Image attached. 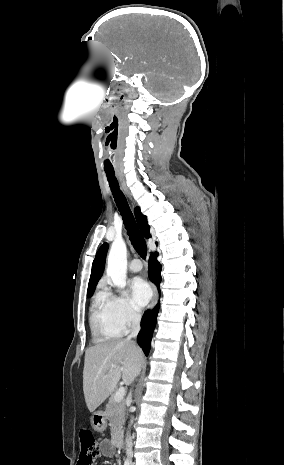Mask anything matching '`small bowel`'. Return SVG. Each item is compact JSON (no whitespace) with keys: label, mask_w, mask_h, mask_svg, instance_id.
Segmentation results:
<instances>
[{"label":"small bowel","mask_w":284,"mask_h":465,"mask_svg":"<svg viewBox=\"0 0 284 465\" xmlns=\"http://www.w3.org/2000/svg\"><path fill=\"white\" fill-rule=\"evenodd\" d=\"M100 454L105 457H114L115 456V449L112 443L109 440H102L100 442Z\"/></svg>","instance_id":"obj_1"}]
</instances>
